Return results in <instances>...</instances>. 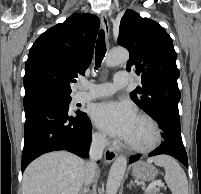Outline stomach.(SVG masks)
I'll list each match as a JSON object with an SVG mask.
<instances>
[{"label":"stomach","mask_w":201,"mask_h":194,"mask_svg":"<svg viewBox=\"0 0 201 194\" xmlns=\"http://www.w3.org/2000/svg\"><path fill=\"white\" fill-rule=\"evenodd\" d=\"M156 175V168L145 162H137L132 167V176L136 180L152 181L155 179Z\"/></svg>","instance_id":"stomach-1"}]
</instances>
